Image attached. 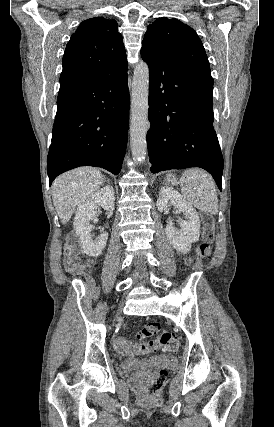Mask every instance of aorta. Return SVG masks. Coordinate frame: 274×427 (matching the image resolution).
I'll return each mask as SVG.
<instances>
[{
  "label": "aorta",
  "instance_id": "762f6f07",
  "mask_svg": "<svg viewBox=\"0 0 274 427\" xmlns=\"http://www.w3.org/2000/svg\"><path fill=\"white\" fill-rule=\"evenodd\" d=\"M149 68L140 61L134 68L131 98L130 145L134 161L142 162L147 153L146 135L150 128Z\"/></svg>",
  "mask_w": 274,
  "mask_h": 427
}]
</instances>
